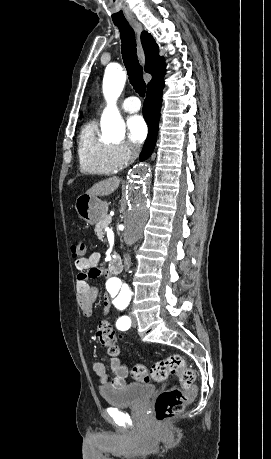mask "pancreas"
<instances>
[{"mask_svg": "<svg viewBox=\"0 0 271 459\" xmlns=\"http://www.w3.org/2000/svg\"><path fill=\"white\" fill-rule=\"evenodd\" d=\"M110 222H105V226L104 228H107V226H109ZM102 228H100V226H97L96 228V237L98 239H103L105 237V232L103 230H101Z\"/></svg>", "mask_w": 271, "mask_h": 459, "instance_id": "1", "label": "pancreas"}]
</instances>
